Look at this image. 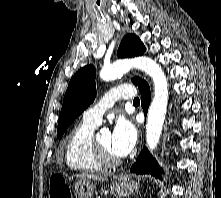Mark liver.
<instances>
[{
  "label": "liver",
  "mask_w": 221,
  "mask_h": 198,
  "mask_svg": "<svg viewBox=\"0 0 221 198\" xmlns=\"http://www.w3.org/2000/svg\"><path fill=\"white\" fill-rule=\"evenodd\" d=\"M77 179L84 180V181H104L106 177H101L99 175L88 174V173H79L74 175Z\"/></svg>",
  "instance_id": "6515ba94"
}]
</instances>
